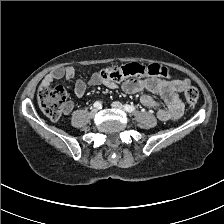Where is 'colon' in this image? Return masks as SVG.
Here are the masks:
<instances>
[{"mask_svg":"<svg viewBox=\"0 0 224 224\" xmlns=\"http://www.w3.org/2000/svg\"><path fill=\"white\" fill-rule=\"evenodd\" d=\"M144 74L161 78L169 77L168 69L157 63L148 66L131 63L120 67H109L101 72L102 78L111 82H119L131 76ZM185 98L190 105L197 104L199 100L198 89L194 86H188L185 90ZM37 99L43 112L53 120H57L70 103L66 91L61 86H41L38 90Z\"/></svg>","mask_w":224,"mask_h":224,"instance_id":"obj_1","label":"colon"}]
</instances>
